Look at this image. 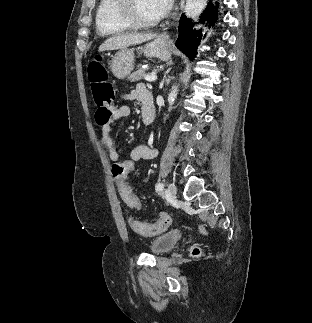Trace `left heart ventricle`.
<instances>
[{
  "mask_svg": "<svg viewBox=\"0 0 312 323\" xmlns=\"http://www.w3.org/2000/svg\"><path fill=\"white\" fill-rule=\"evenodd\" d=\"M131 7V14H138V18H144L146 22H149L151 18H157L156 9H160V2L158 0H133Z\"/></svg>",
  "mask_w": 312,
  "mask_h": 323,
  "instance_id": "1",
  "label": "left heart ventricle"
}]
</instances>
